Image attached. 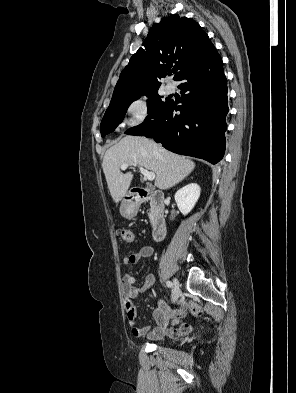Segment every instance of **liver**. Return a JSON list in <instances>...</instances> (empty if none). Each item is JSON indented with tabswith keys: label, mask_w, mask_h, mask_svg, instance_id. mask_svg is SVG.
Instances as JSON below:
<instances>
[{
	"label": "liver",
	"mask_w": 296,
	"mask_h": 393,
	"mask_svg": "<svg viewBox=\"0 0 296 393\" xmlns=\"http://www.w3.org/2000/svg\"><path fill=\"white\" fill-rule=\"evenodd\" d=\"M133 163L155 173V186L169 189L195 168V163L186 157L172 153L154 141L144 137L126 136L110 147L103 158L102 168L113 200L118 203L126 195L133 174H123L120 167Z\"/></svg>",
	"instance_id": "obj_1"
}]
</instances>
